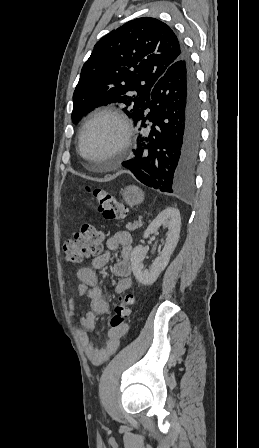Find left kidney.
<instances>
[{"label": "left kidney", "mask_w": 259, "mask_h": 448, "mask_svg": "<svg viewBox=\"0 0 259 448\" xmlns=\"http://www.w3.org/2000/svg\"><path fill=\"white\" fill-rule=\"evenodd\" d=\"M160 226L168 228V232L166 234V244L159 258H156L152 266H149V270H144V266L142 264L144 258L147 256V250H145L143 246H136V248L132 250V272L136 280H138L140 284H143V286H151V284H154L159 274H161V272H163L169 264L170 256L173 254L179 240L181 228L179 210H177V208H166V210H163V212H161V214H159V216L151 222L147 230H145L144 238H149L150 234H156Z\"/></svg>", "instance_id": "1"}]
</instances>
